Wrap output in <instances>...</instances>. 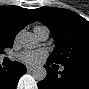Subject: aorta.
I'll use <instances>...</instances> for the list:
<instances>
[{
	"label": "aorta",
	"instance_id": "762f6f07",
	"mask_svg": "<svg viewBox=\"0 0 89 89\" xmlns=\"http://www.w3.org/2000/svg\"><path fill=\"white\" fill-rule=\"evenodd\" d=\"M21 45L26 49H35L39 45V41L36 36L31 32L21 34L20 37ZM47 71L44 67L39 66L33 72L32 76L36 81H42L46 78Z\"/></svg>",
	"mask_w": 89,
	"mask_h": 89
}]
</instances>
